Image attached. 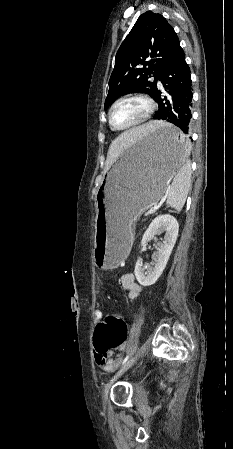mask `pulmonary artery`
<instances>
[{"label": "pulmonary artery", "instance_id": "1", "mask_svg": "<svg viewBox=\"0 0 233 449\" xmlns=\"http://www.w3.org/2000/svg\"><path fill=\"white\" fill-rule=\"evenodd\" d=\"M159 87H162V84L160 82H158Z\"/></svg>", "mask_w": 233, "mask_h": 449}]
</instances>
